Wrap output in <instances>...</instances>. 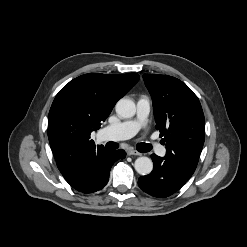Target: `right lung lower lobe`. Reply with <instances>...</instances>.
<instances>
[{"mask_svg":"<svg viewBox=\"0 0 247 247\" xmlns=\"http://www.w3.org/2000/svg\"><path fill=\"white\" fill-rule=\"evenodd\" d=\"M126 156L125 151L106 150L91 161L82 165L80 172L67 182L76 190L92 193L101 190L108 182L113 163Z\"/></svg>","mask_w":247,"mask_h":247,"instance_id":"obj_1","label":"right lung lower lobe"}]
</instances>
